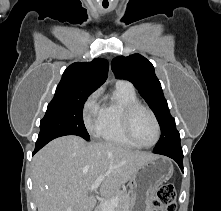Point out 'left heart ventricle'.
Segmentation results:
<instances>
[{
  "instance_id": "left-heart-ventricle-1",
  "label": "left heart ventricle",
  "mask_w": 221,
  "mask_h": 211,
  "mask_svg": "<svg viewBox=\"0 0 221 211\" xmlns=\"http://www.w3.org/2000/svg\"><path fill=\"white\" fill-rule=\"evenodd\" d=\"M133 133L136 140L144 145L152 143L156 137L154 122L148 112L138 111L133 118Z\"/></svg>"
}]
</instances>
